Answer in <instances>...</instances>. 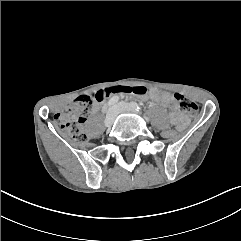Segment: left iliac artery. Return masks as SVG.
<instances>
[{
    "label": "left iliac artery",
    "mask_w": 241,
    "mask_h": 241,
    "mask_svg": "<svg viewBox=\"0 0 241 241\" xmlns=\"http://www.w3.org/2000/svg\"><path fill=\"white\" fill-rule=\"evenodd\" d=\"M130 105H131V107H132L133 109H135L137 112H142L141 107H140L137 103L131 102Z\"/></svg>",
    "instance_id": "44dca946"
}]
</instances>
